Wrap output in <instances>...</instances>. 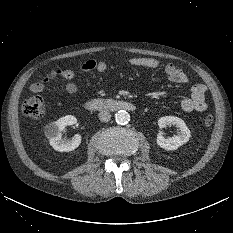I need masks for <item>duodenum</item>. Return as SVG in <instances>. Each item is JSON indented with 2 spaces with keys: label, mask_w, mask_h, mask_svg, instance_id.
Segmentation results:
<instances>
[{
  "label": "duodenum",
  "mask_w": 233,
  "mask_h": 233,
  "mask_svg": "<svg viewBox=\"0 0 233 233\" xmlns=\"http://www.w3.org/2000/svg\"><path fill=\"white\" fill-rule=\"evenodd\" d=\"M85 108L90 111L106 110V111H135L136 106L130 102L117 99H94L85 103Z\"/></svg>",
  "instance_id": "obj_1"
}]
</instances>
